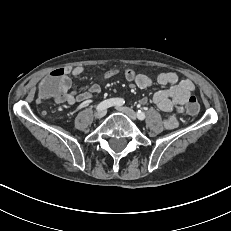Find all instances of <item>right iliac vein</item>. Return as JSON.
Instances as JSON below:
<instances>
[{
  "mask_svg": "<svg viewBox=\"0 0 231 231\" xmlns=\"http://www.w3.org/2000/svg\"><path fill=\"white\" fill-rule=\"evenodd\" d=\"M105 114H106V110L105 109L104 110H98V111L95 112L94 116L97 119H101L102 117L105 116Z\"/></svg>",
  "mask_w": 231,
  "mask_h": 231,
  "instance_id": "1",
  "label": "right iliac vein"
}]
</instances>
